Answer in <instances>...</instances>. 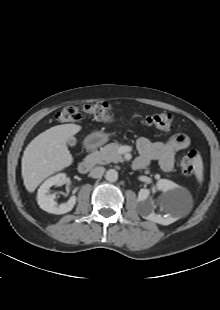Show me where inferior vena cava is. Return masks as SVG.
<instances>
[{
	"mask_svg": "<svg viewBox=\"0 0 220 310\" xmlns=\"http://www.w3.org/2000/svg\"><path fill=\"white\" fill-rule=\"evenodd\" d=\"M104 172H105L104 167H101V166L94 167L90 172V176L92 178H100V177H102Z\"/></svg>",
	"mask_w": 220,
	"mask_h": 310,
	"instance_id": "602c4592",
	"label": "inferior vena cava"
}]
</instances>
